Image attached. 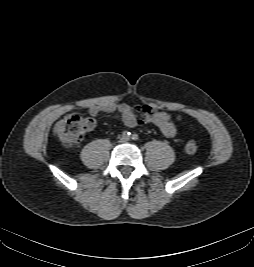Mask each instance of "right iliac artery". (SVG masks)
Returning a JSON list of instances; mask_svg holds the SVG:
<instances>
[{"instance_id":"82829eb1","label":"right iliac artery","mask_w":254,"mask_h":267,"mask_svg":"<svg viewBox=\"0 0 254 267\" xmlns=\"http://www.w3.org/2000/svg\"><path fill=\"white\" fill-rule=\"evenodd\" d=\"M123 138L128 139L131 136V133L129 131H124L122 133Z\"/></svg>"}]
</instances>
